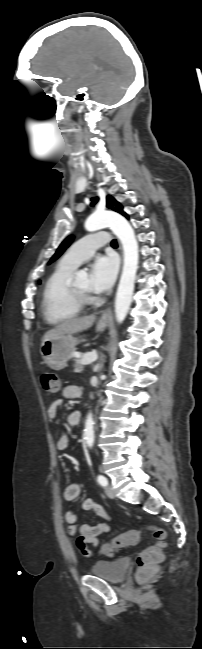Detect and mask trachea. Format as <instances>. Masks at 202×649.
Returning <instances> with one entry per match:
<instances>
[{
  "label": "trachea",
  "mask_w": 202,
  "mask_h": 649,
  "mask_svg": "<svg viewBox=\"0 0 202 649\" xmlns=\"http://www.w3.org/2000/svg\"><path fill=\"white\" fill-rule=\"evenodd\" d=\"M111 245L112 246H117V241L115 239H113L112 242H111Z\"/></svg>",
  "instance_id": "3493384b"
}]
</instances>
